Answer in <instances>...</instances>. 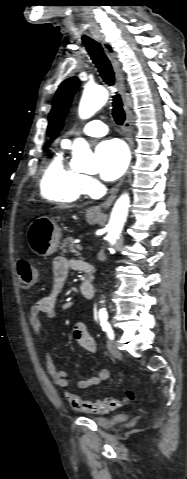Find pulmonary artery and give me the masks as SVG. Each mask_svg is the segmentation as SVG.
Wrapping results in <instances>:
<instances>
[{"label":"pulmonary artery","instance_id":"pulmonary-artery-1","mask_svg":"<svg viewBox=\"0 0 187 479\" xmlns=\"http://www.w3.org/2000/svg\"><path fill=\"white\" fill-rule=\"evenodd\" d=\"M107 131H108L107 125L104 122L95 119L86 123L80 130V134L98 137V136L105 135ZM64 143L66 145H69L71 143V140L65 139Z\"/></svg>","mask_w":187,"mask_h":479}]
</instances>
